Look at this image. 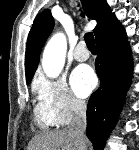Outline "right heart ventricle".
<instances>
[{
  "label": "right heart ventricle",
  "mask_w": 139,
  "mask_h": 150,
  "mask_svg": "<svg viewBox=\"0 0 139 150\" xmlns=\"http://www.w3.org/2000/svg\"><path fill=\"white\" fill-rule=\"evenodd\" d=\"M34 122L40 129L47 130L55 125L53 117L41 101L34 108Z\"/></svg>",
  "instance_id": "e07e8e85"
}]
</instances>
